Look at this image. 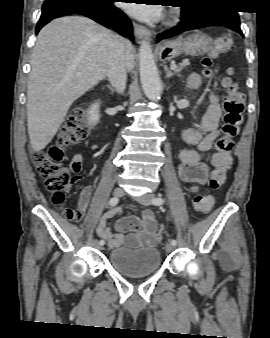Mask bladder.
<instances>
[{
    "instance_id": "31cf9c89",
    "label": "bladder",
    "mask_w": 270,
    "mask_h": 338,
    "mask_svg": "<svg viewBox=\"0 0 270 338\" xmlns=\"http://www.w3.org/2000/svg\"><path fill=\"white\" fill-rule=\"evenodd\" d=\"M107 261L110 268L129 279L153 275L161 267V255L156 247L132 249L121 245L109 252Z\"/></svg>"
}]
</instances>
